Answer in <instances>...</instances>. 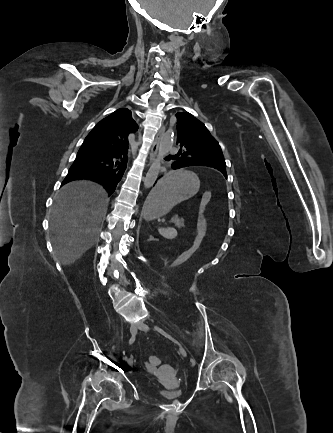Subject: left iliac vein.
I'll list each match as a JSON object with an SVG mask.
<instances>
[{
    "mask_svg": "<svg viewBox=\"0 0 333 433\" xmlns=\"http://www.w3.org/2000/svg\"><path fill=\"white\" fill-rule=\"evenodd\" d=\"M140 329V330H142V331H148L149 330V326L147 325V324H145V323H143V322H139L137 325H136V329ZM179 353L183 356V357H186L187 356V353H186V350L183 348V347H179Z\"/></svg>",
    "mask_w": 333,
    "mask_h": 433,
    "instance_id": "1",
    "label": "left iliac vein"
}]
</instances>
